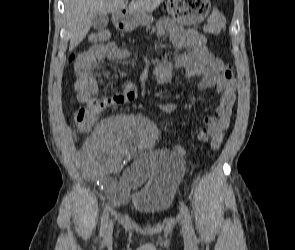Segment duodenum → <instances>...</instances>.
<instances>
[{"instance_id":"1","label":"duodenum","mask_w":295,"mask_h":250,"mask_svg":"<svg viewBox=\"0 0 295 250\" xmlns=\"http://www.w3.org/2000/svg\"><path fill=\"white\" fill-rule=\"evenodd\" d=\"M126 15H127V11L126 10H121L120 15H119V20L124 21L126 20Z\"/></svg>"}]
</instances>
